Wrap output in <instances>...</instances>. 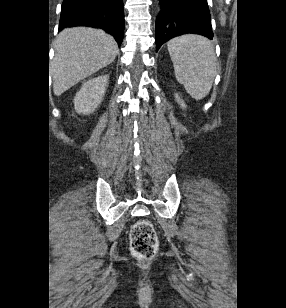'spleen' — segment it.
Returning a JSON list of instances; mask_svg holds the SVG:
<instances>
[{
    "instance_id": "spleen-1",
    "label": "spleen",
    "mask_w": 286,
    "mask_h": 308,
    "mask_svg": "<svg viewBox=\"0 0 286 308\" xmlns=\"http://www.w3.org/2000/svg\"><path fill=\"white\" fill-rule=\"evenodd\" d=\"M177 81L194 99L209 94L217 70L213 44L201 35L186 34L167 43Z\"/></svg>"
}]
</instances>
